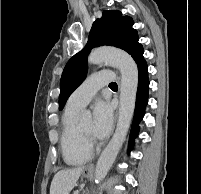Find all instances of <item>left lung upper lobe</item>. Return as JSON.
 <instances>
[{
	"mask_svg": "<svg viewBox=\"0 0 201 194\" xmlns=\"http://www.w3.org/2000/svg\"><path fill=\"white\" fill-rule=\"evenodd\" d=\"M133 20L129 16H122L117 10L103 12L101 19H97L89 33L87 45L66 64L61 80L59 95V110H62L68 97L82 83L87 74V56L93 46H114L132 53L138 44V33L132 28Z\"/></svg>",
	"mask_w": 201,
	"mask_h": 194,
	"instance_id": "1",
	"label": "left lung upper lobe"
}]
</instances>
